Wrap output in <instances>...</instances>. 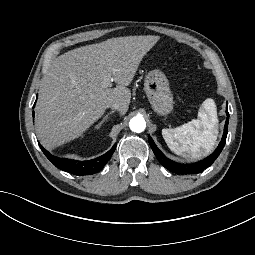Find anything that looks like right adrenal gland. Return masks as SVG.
Masks as SVG:
<instances>
[{
	"instance_id": "right-adrenal-gland-1",
	"label": "right adrenal gland",
	"mask_w": 255,
	"mask_h": 255,
	"mask_svg": "<svg viewBox=\"0 0 255 255\" xmlns=\"http://www.w3.org/2000/svg\"><path fill=\"white\" fill-rule=\"evenodd\" d=\"M113 113H114V111H110L107 115H105L104 118L102 119V121L95 127V129H98L104 123V121L107 120V117Z\"/></svg>"
}]
</instances>
